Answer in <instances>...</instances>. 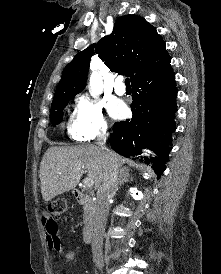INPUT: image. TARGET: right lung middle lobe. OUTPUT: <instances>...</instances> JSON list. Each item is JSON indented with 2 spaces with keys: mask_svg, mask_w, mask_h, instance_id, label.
<instances>
[{
  "mask_svg": "<svg viewBox=\"0 0 221 274\" xmlns=\"http://www.w3.org/2000/svg\"><path fill=\"white\" fill-rule=\"evenodd\" d=\"M74 96H61L53 99L52 109L50 112V120L54 126L59 124L62 121L63 110L68 104V101L72 99Z\"/></svg>",
  "mask_w": 221,
  "mask_h": 274,
  "instance_id": "right-lung-middle-lobe-1",
  "label": "right lung middle lobe"
}]
</instances>
